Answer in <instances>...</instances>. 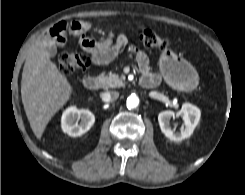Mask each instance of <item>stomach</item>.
Listing matches in <instances>:
<instances>
[{
  "label": "stomach",
  "instance_id": "1",
  "mask_svg": "<svg viewBox=\"0 0 245 195\" xmlns=\"http://www.w3.org/2000/svg\"><path fill=\"white\" fill-rule=\"evenodd\" d=\"M160 69L170 86L180 91H191L198 84L196 71L172 51L164 50L160 58Z\"/></svg>",
  "mask_w": 245,
  "mask_h": 195
}]
</instances>
